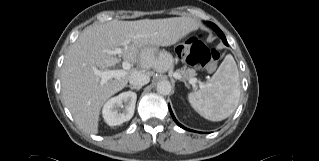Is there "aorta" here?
<instances>
[{
	"instance_id": "762f6f07",
	"label": "aorta",
	"mask_w": 319,
	"mask_h": 161,
	"mask_svg": "<svg viewBox=\"0 0 319 161\" xmlns=\"http://www.w3.org/2000/svg\"><path fill=\"white\" fill-rule=\"evenodd\" d=\"M171 84L167 80H162L157 83V92L161 95H168L171 92Z\"/></svg>"
}]
</instances>
